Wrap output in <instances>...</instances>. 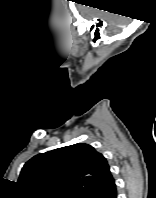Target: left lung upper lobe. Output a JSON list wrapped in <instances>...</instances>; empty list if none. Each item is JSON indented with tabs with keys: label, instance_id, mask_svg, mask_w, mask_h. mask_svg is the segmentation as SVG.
<instances>
[{
	"label": "left lung upper lobe",
	"instance_id": "1",
	"mask_svg": "<svg viewBox=\"0 0 156 198\" xmlns=\"http://www.w3.org/2000/svg\"><path fill=\"white\" fill-rule=\"evenodd\" d=\"M110 177L106 158L78 143L34 156L22 168L18 184L28 198H88Z\"/></svg>",
	"mask_w": 156,
	"mask_h": 198
}]
</instances>
